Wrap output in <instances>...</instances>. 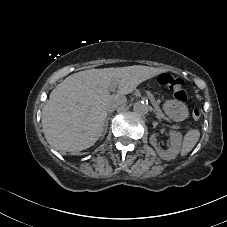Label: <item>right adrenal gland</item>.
Wrapping results in <instances>:
<instances>
[{
    "mask_svg": "<svg viewBox=\"0 0 227 227\" xmlns=\"http://www.w3.org/2000/svg\"><path fill=\"white\" fill-rule=\"evenodd\" d=\"M108 119H109V117H107V119H106V121H105L104 131H103V133H102V135H101V138L105 135V133H106V131H107V129H108Z\"/></svg>",
    "mask_w": 227,
    "mask_h": 227,
    "instance_id": "2a0ac1e0",
    "label": "right adrenal gland"
}]
</instances>
